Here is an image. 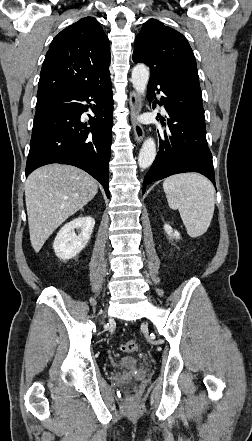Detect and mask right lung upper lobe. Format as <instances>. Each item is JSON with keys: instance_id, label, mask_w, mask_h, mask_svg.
<instances>
[{"instance_id": "1", "label": "right lung upper lobe", "mask_w": 252, "mask_h": 441, "mask_svg": "<svg viewBox=\"0 0 252 441\" xmlns=\"http://www.w3.org/2000/svg\"><path fill=\"white\" fill-rule=\"evenodd\" d=\"M109 40L99 22L84 17L51 42L42 65L37 99L77 87L110 82Z\"/></svg>"}]
</instances>
